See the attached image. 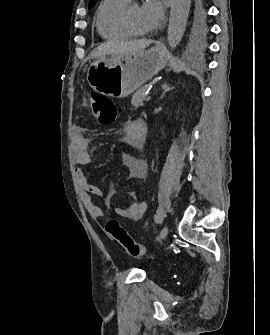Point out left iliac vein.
<instances>
[{
  "label": "left iliac vein",
  "instance_id": "1",
  "mask_svg": "<svg viewBox=\"0 0 270 335\" xmlns=\"http://www.w3.org/2000/svg\"><path fill=\"white\" fill-rule=\"evenodd\" d=\"M167 234H168V226L165 225L160 232L159 239L160 240L165 239Z\"/></svg>",
  "mask_w": 270,
  "mask_h": 335
}]
</instances>
